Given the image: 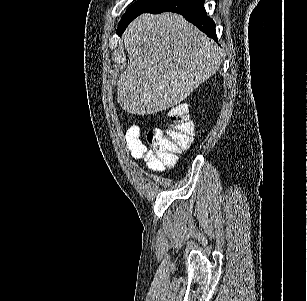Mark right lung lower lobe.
<instances>
[{"mask_svg":"<svg viewBox=\"0 0 307 301\" xmlns=\"http://www.w3.org/2000/svg\"><path fill=\"white\" fill-rule=\"evenodd\" d=\"M205 0H160L143 13L159 14L175 12L181 14L187 21L216 40L215 23L207 16L204 8Z\"/></svg>","mask_w":307,"mask_h":301,"instance_id":"obj_1","label":"right lung lower lobe"}]
</instances>
